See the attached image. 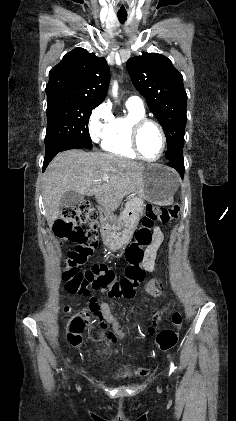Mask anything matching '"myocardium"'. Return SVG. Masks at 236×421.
I'll list each match as a JSON object with an SVG mask.
<instances>
[{
	"instance_id": "myocardium-1",
	"label": "myocardium",
	"mask_w": 236,
	"mask_h": 421,
	"mask_svg": "<svg viewBox=\"0 0 236 421\" xmlns=\"http://www.w3.org/2000/svg\"><path fill=\"white\" fill-rule=\"evenodd\" d=\"M146 124H151L154 127H156V129L158 130L161 136V141H162L161 151L158 157L155 159H150L144 156L139 147V133H140L141 128ZM129 136H130L132 148L140 159L153 163V162H158L164 156V153L167 147V136L163 127L157 121L153 119H149L147 117L135 119L130 125Z\"/></svg>"
}]
</instances>
